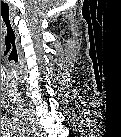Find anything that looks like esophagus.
I'll return each instance as SVG.
<instances>
[{
    "label": "esophagus",
    "mask_w": 121,
    "mask_h": 137,
    "mask_svg": "<svg viewBox=\"0 0 121 137\" xmlns=\"http://www.w3.org/2000/svg\"><path fill=\"white\" fill-rule=\"evenodd\" d=\"M31 126H32L33 130L36 132L37 125H36V123L33 120L31 121Z\"/></svg>",
    "instance_id": "obj_1"
}]
</instances>
